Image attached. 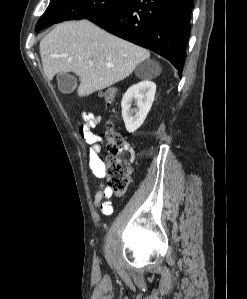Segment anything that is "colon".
<instances>
[{
  "mask_svg": "<svg viewBox=\"0 0 247 299\" xmlns=\"http://www.w3.org/2000/svg\"><path fill=\"white\" fill-rule=\"evenodd\" d=\"M101 98L107 105H111L115 100V91L108 88L101 92ZM105 150L102 176L114 194L123 195L131 184L134 151L111 123H108L105 132Z\"/></svg>",
  "mask_w": 247,
  "mask_h": 299,
  "instance_id": "5ec220e1",
  "label": "colon"
}]
</instances>
